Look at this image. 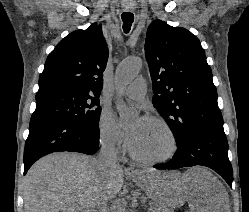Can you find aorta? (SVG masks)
I'll return each instance as SVG.
<instances>
[{
    "instance_id": "obj_1",
    "label": "aorta",
    "mask_w": 249,
    "mask_h": 212,
    "mask_svg": "<svg viewBox=\"0 0 249 212\" xmlns=\"http://www.w3.org/2000/svg\"><path fill=\"white\" fill-rule=\"evenodd\" d=\"M141 59L127 58L120 62L115 73V84L118 88H122L128 85L133 79L138 75L141 69ZM116 108L119 112L120 118L123 120H128L136 116L137 112L129 107H127L121 99H117Z\"/></svg>"
}]
</instances>
